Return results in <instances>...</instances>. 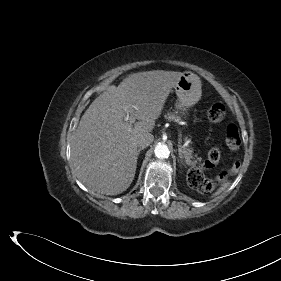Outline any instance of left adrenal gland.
<instances>
[{
    "mask_svg": "<svg viewBox=\"0 0 281 281\" xmlns=\"http://www.w3.org/2000/svg\"><path fill=\"white\" fill-rule=\"evenodd\" d=\"M179 157L182 158L180 153H179ZM180 162L182 163V160H180Z\"/></svg>",
    "mask_w": 281,
    "mask_h": 281,
    "instance_id": "obj_1",
    "label": "left adrenal gland"
}]
</instances>
